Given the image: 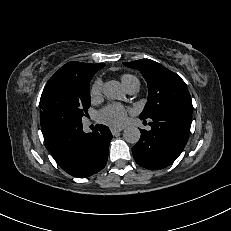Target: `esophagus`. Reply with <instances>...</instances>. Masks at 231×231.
I'll list each match as a JSON object with an SVG mask.
<instances>
[{
	"label": "esophagus",
	"instance_id": "34e87169",
	"mask_svg": "<svg viewBox=\"0 0 231 231\" xmlns=\"http://www.w3.org/2000/svg\"><path fill=\"white\" fill-rule=\"evenodd\" d=\"M123 129L122 128H111V133L115 136L120 133Z\"/></svg>",
	"mask_w": 231,
	"mask_h": 231
}]
</instances>
